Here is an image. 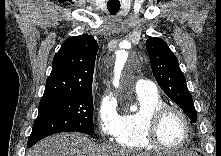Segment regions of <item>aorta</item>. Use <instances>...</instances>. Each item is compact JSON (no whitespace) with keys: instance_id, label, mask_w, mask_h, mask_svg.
I'll return each instance as SVG.
<instances>
[{"instance_id":"1","label":"aorta","mask_w":221,"mask_h":156,"mask_svg":"<svg viewBox=\"0 0 221 156\" xmlns=\"http://www.w3.org/2000/svg\"><path fill=\"white\" fill-rule=\"evenodd\" d=\"M127 57H128V54L124 49L117 52V59H116V64H115V69H114V78H113L114 87L119 86V79L121 76V71H122L125 61L127 60ZM131 110L135 111L134 108H131Z\"/></svg>"}]
</instances>
